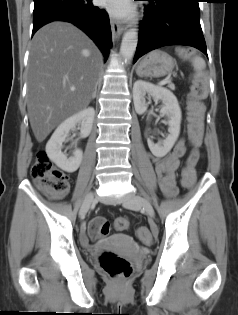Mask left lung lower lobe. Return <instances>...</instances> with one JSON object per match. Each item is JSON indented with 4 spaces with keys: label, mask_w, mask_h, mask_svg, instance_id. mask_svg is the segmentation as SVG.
<instances>
[{
    "label": "left lung lower lobe",
    "mask_w": 238,
    "mask_h": 315,
    "mask_svg": "<svg viewBox=\"0 0 238 315\" xmlns=\"http://www.w3.org/2000/svg\"><path fill=\"white\" fill-rule=\"evenodd\" d=\"M134 63L151 50L168 45L192 46L205 55L207 48L200 25L199 0H145Z\"/></svg>",
    "instance_id": "0a47b994"
}]
</instances>
